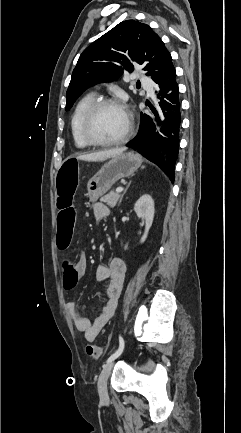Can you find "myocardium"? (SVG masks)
I'll list each match as a JSON object with an SVG mask.
<instances>
[{
    "label": "myocardium",
    "mask_w": 241,
    "mask_h": 433,
    "mask_svg": "<svg viewBox=\"0 0 241 433\" xmlns=\"http://www.w3.org/2000/svg\"><path fill=\"white\" fill-rule=\"evenodd\" d=\"M107 106H118L122 108L127 115V126L124 133L120 137L110 141L97 139L94 137V135L91 132V124L93 122L94 117L96 116L99 110ZM81 129L84 138L90 145L102 146V147L115 146L127 141V139L130 137L133 130V122H132L131 114L129 113L128 109L121 101L112 98H103V99L95 100L93 104L88 108V110L86 111L83 117Z\"/></svg>",
    "instance_id": "myocardium-1"
}]
</instances>
